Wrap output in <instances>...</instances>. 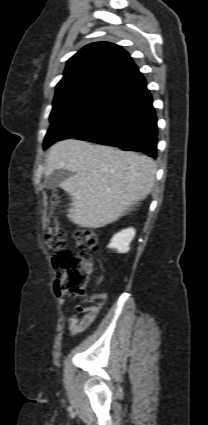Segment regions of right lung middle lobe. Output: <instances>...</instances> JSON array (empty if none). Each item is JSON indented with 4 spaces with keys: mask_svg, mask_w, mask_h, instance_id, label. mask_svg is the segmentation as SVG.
<instances>
[{
    "mask_svg": "<svg viewBox=\"0 0 208 425\" xmlns=\"http://www.w3.org/2000/svg\"><path fill=\"white\" fill-rule=\"evenodd\" d=\"M101 92H102L101 90H83V91H78V92L69 94L63 98L53 101V109L50 114V122H51L50 128L63 115L87 105L89 102H91L96 97H98ZM51 144H52V139L47 133L44 139L43 146L46 149Z\"/></svg>",
    "mask_w": 208,
    "mask_h": 425,
    "instance_id": "1",
    "label": "right lung middle lobe"
}]
</instances>
